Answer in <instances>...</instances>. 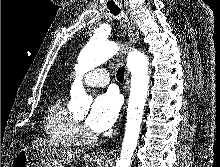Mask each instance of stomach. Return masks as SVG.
Here are the masks:
<instances>
[{"label": "stomach", "instance_id": "1", "mask_svg": "<svg viewBox=\"0 0 220 167\" xmlns=\"http://www.w3.org/2000/svg\"><path fill=\"white\" fill-rule=\"evenodd\" d=\"M107 160H98V167H104L103 165ZM11 167H64V165L55 162L43 161L33 149L27 148L20 150L15 158L12 160Z\"/></svg>", "mask_w": 220, "mask_h": 167}]
</instances>
